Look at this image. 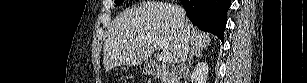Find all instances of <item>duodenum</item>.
Returning <instances> with one entry per match:
<instances>
[{"label":"duodenum","mask_w":307,"mask_h":83,"mask_svg":"<svg viewBox=\"0 0 307 83\" xmlns=\"http://www.w3.org/2000/svg\"><path fill=\"white\" fill-rule=\"evenodd\" d=\"M152 73L153 74H162V70L160 68H158L157 66H154L152 68Z\"/></svg>","instance_id":"obj_1"}]
</instances>
